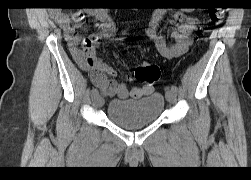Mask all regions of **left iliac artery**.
I'll return each mask as SVG.
<instances>
[{"label": "left iliac artery", "instance_id": "obj_1", "mask_svg": "<svg viewBox=\"0 0 251 180\" xmlns=\"http://www.w3.org/2000/svg\"><path fill=\"white\" fill-rule=\"evenodd\" d=\"M171 90L174 91V92H177L178 91V88L176 85H172L171 86Z\"/></svg>", "mask_w": 251, "mask_h": 180}]
</instances>
